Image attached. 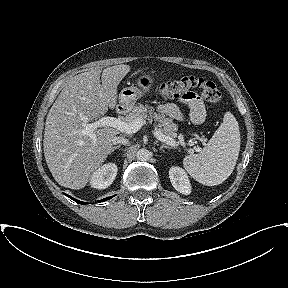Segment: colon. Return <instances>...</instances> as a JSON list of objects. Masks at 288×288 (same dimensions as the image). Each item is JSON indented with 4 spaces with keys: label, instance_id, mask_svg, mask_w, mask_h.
Returning a JSON list of instances; mask_svg holds the SVG:
<instances>
[{
    "label": "colon",
    "instance_id": "1",
    "mask_svg": "<svg viewBox=\"0 0 288 288\" xmlns=\"http://www.w3.org/2000/svg\"><path fill=\"white\" fill-rule=\"evenodd\" d=\"M192 89L201 90L203 98L210 103H218L221 100V93L214 82L196 76L164 82L157 87V92L166 98H176L183 97Z\"/></svg>",
    "mask_w": 288,
    "mask_h": 288
}]
</instances>
